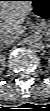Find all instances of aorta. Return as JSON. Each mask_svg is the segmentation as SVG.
<instances>
[{
	"label": "aorta",
	"instance_id": "762f6f07",
	"mask_svg": "<svg viewBox=\"0 0 50 111\" xmlns=\"http://www.w3.org/2000/svg\"><path fill=\"white\" fill-rule=\"evenodd\" d=\"M27 46L33 51H41L44 48V43L40 36L33 35L27 39Z\"/></svg>",
	"mask_w": 50,
	"mask_h": 111
}]
</instances>
